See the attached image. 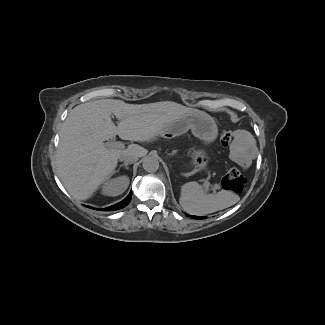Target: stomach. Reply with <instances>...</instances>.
I'll return each mask as SVG.
<instances>
[{
	"label": "stomach",
	"mask_w": 325,
	"mask_h": 325,
	"mask_svg": "<svg viewBox=\"0 0 325 325\" xmlns=\"http://www.w3.org/2000/svg\"><path fill=\"white\" fill-rule=\"evenodd\" d=\"M191 129L193 134L203 140H211L216 136L217 127L214 120L202 112L186 114L163 128V135L177 138L178 134ZM208 158L204 152H196L191 161L194 168L203 169L207 166Z\"/></svg>",
	"instance_id": "0dacf381"
}]
</instances>
